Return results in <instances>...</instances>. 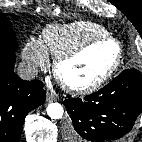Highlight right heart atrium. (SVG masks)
Returning <instances> with one entry per match:
<instances>
[{"mask_svg":"<svg viewBox=\"0 0 142 142\" xmlns=\"http://www.w3.org/2000/svg\"><path fill=\"white\" fill-rule=\"evenodd\" d=\"M22 57L32 71L46 67L49 63L48 53L41 41L31 38L23 48Z\"/></svg>","mask_w":142,"mask_h":142,"instance_id":"right-heart-atrium-1","label":"right heart atrium"}]
</instances>
